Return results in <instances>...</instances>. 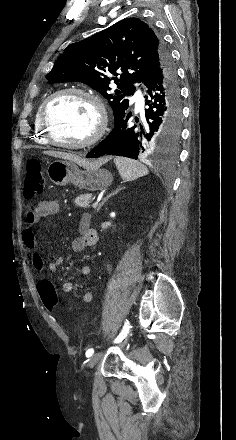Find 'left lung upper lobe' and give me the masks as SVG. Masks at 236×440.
<instances>
[{
    "instance_id": "5c2ea615",
    "label": "left lung upper lobe",
    "mask_w": 236,
    "mask_h": 440,
    "mask_svg": "<svg viewBox=\"0 0 236 440\" xmlns=\"http://www.w3.org/2000/svg\"><path fill=\"white\" fill-rule=\"evenodd\" d=\"M163 52H168L163 39L148 24L126 18L68 46L46 78L51 83L77 81L90 86L109 100L116 118L127 110L133 84L142 81L151 61ZM112 80L119 89L115 94L108 93Z\"/></svg>"
}]
</instances>
